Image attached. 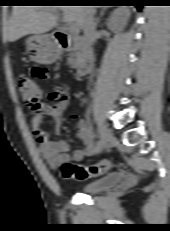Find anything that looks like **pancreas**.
Listing matches in <instances>:
<instances>
[{
  "label": "pancreas",
  "mask_w": 170,
  "mask_h": 231,
  "mask_svg": "<svg viewBox=\"0 0 170 231\" xmlns=\"http://www.w3.org/2000/svg\"><path fill=\"white\" fill-rule=\"evenodd\" d=\"M79 62V51L78 49H74L70 54L68 58V64L71 67H76V65Z\"/></svg>",
  "instance_id": "cf45deb5"
}]
</instances>
